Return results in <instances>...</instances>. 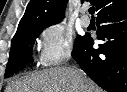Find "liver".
Returning <instances> with one entry per match:
<instances>
[{
	"mask_svg": "<svg viewBox=\"0 0 127 92\" xmlns=\"http://www.w3.org/2000/svg\"><path fill=\"white\" fill-rule=\"evenodd\" d=\"M5 92H103L83 71L55 67L12 81Z\"/></svg>",
	"mask_w": 127,
	"mask_h": 92,
	"instance_id": "6515ba94",
	"label": "liver"
}]
</instances>
